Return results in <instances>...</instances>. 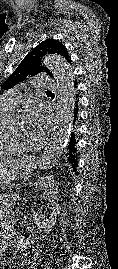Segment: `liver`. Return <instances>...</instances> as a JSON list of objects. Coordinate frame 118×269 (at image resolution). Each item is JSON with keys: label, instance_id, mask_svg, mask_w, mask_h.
I'll return each instance as SVG.
<instances>
[{"label": "liver", "instance_id": "6515ba94", "mask_svg": "<svg viewBox=\"0 0 118 269\" xmlns=\"http://www.w3.org/2000/svg\"><path fill=\"white\" fill-rule=\"evenodd\" d=\"M9 163H2V164H0V167L5 166L6 164H9Z\"/></svg>", "mask_w": 118, "mask_h": 269}]
</instances>
